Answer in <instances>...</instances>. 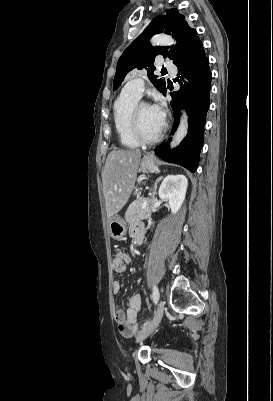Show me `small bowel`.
I'll return each mask as SVG.
<instances>
[{
	"label": "small bowel",
	"mask_w": 273,
	"mask_h": 401,
	"mask_svg": "<svg viewBox=\"0 0 273 401\" xmlns=\"http://www.w3.org/2000/svg\"><path fill=\"white\" fill-rule=\"evenodd\" d=\"M131 235L135 238H144V230L139 225H134L131 228ZM132 262L131 256L123 251H119L115 254L112 260V269L115 273H123L126 266ZM112 291L117 294L121 291V283L119 280H114L112 283ZM154 309V308H153ZM142 310L141 297L138 294H134L130 297L128 305L125 311L117 310L115 313V324L119 333L125 337L130 336L136 326L139 319V315Z\"/></svg>",
	"instance_id": "1"
}]
</instances>
